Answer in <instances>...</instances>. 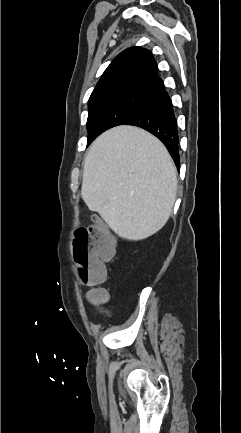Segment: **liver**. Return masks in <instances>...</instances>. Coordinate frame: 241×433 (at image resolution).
Returning <instances> with one entry per match:
<instances>
[{
    "instance_id": "1",
    "label": "liver",
    "mask_w": 241,
    "mask_h": 433,
    "mask_svg": "<svg viewBox=\"0 0 241 433\" xmlns=\"http://www.w3.org/2000/svg\"><path fill=\"white\" fill-rule=\"evenodd\" d=\"M176 193L171 156L147 131L122 125L92 143L84 161L81 196L119 237L138 241L162 229Z\"/></svg>"
}]
</instances>
